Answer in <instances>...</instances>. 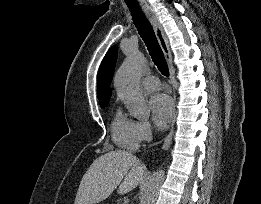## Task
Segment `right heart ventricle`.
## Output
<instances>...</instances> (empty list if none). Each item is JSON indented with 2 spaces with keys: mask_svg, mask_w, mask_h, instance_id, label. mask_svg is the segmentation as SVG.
Returning a JSON list of instances; mask_svg holds the SVG:
<instances>
[{
  "mask_svg": "<svg viewBox=\"0 0 261 204\" xmlns=\"http://www.w3.org/2000/svg\"><path fill=\"white\" fill-rule=\"evenodd\" d=\"M111 133L114 143L121 148L134 150L139 145L136 121L126 117L120 110H117L113 117Z\"/></svg>",
  "mask_w": 261,
  "mask_h": 204,
  "instance_id": "e07e8e85",
  "label": "right heart ventricle"
}]
</instances>
